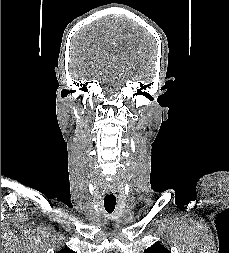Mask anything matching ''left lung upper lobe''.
Instances as JSON below:
<instances>
[{
	"label": "left lung upper lobe",
	"mask_w": 229,
	"mask_h": 253,
	"mask_svg": "<svg viewBox=\"0 0 229 253\" xmlns=\"http://www.w3.org/2000/svg\"><path fill=\"white\" fill-rule=\"evenodd\" d=\"M144 253H171L168 249L159 243L153 244L151 247L147 248Z\"/></svg>",
	"instance_id": "1"
}]
</instances>
